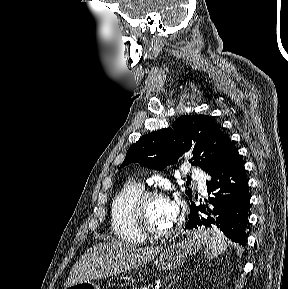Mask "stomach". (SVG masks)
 <instances>
[{"label": "stomach", "instance_id": "stomach-1", "mask_svg": "<svg viewBox=\"0 0 288 289\" xmlns=\"http://www.w3.org/2000/svg\"><path fill=\"white\" fill-rule=\"evenodd\" d=\"M201 246L197 239L188 233L183 240L166 247L155 258L154 264L159 270H172L180 266L188 256L196 254ZM108 284L111 285L110 282ZM68 289H100V285L93 281H85L69 286Z\"/></svg>", "mask_w": 288, "mask_h": 289}]
</instances>
